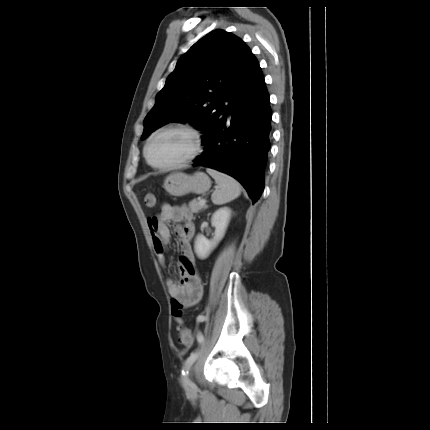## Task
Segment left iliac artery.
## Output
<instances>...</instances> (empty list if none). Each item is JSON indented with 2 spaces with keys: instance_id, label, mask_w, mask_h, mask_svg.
<instances>
[{
  "instance_id": "1",
  "label": "left iliac artery",
  "mask_w": 430,
  "mask_h": 430,
  "mask_svg": "<svg viewBox=\"0 0 430 430\" xmlns=\"http://www.w3.org/2000/svg\"><path fill=\"white\" fill-rule=\"evenodd\" d=\"M197 321H203L205 319L204 316H197ZM198 343L200 345H202L204 343V336L199 333L198 335ZM198 349H196L195 351H193L190 356L186 359L185 365H184V369L182 370V375L185 377L188 374V369L189 367L194 363V361L197 359L198 357Z\"/></svg>"
}]
</instances>
